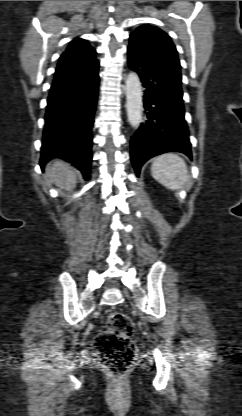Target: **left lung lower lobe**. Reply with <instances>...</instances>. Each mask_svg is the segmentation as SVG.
Masks as SVG:
<instances>
[{
    "mask_svg": "<svg viewBox=\"0 0 242 416\" xmlns=\"http://www.w3.org/2000/svg\"><path fill=\"white\" fill-rule=\"evenodd\" d=\"M129 67L143 83L145 120L131 138V161L139 176L151 157L171 151L191 156L185 121L182 77L168 56L155 45L130 36Z\"/></svg>",
    "mask_w": 242,
    "mask_h": 416,
    "instance_id": "left-lung-lower-lobe-1",
    "label": "left lung lower lobe"
}]
</instances>
